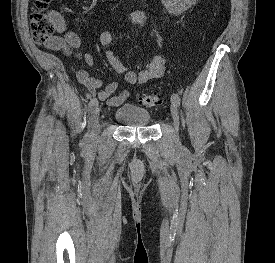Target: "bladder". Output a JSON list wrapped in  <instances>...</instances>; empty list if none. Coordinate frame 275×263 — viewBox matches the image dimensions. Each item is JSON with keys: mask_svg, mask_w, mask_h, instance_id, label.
I'll return each instance as SVG.
<instances>
[{"mask_svg": "<svg viewBox=\"0 0 275 263\" xmlns=\"http://www.w3.org/2000/svg\"><path fill=\"white\" fill-rule=\"evenodd\" d=\"M114 118L127 127H145L150 122L151 114L146 109L127 103L117 107Z\"/></svg>", "mask_w": 275, "mask_h": 263, "instance_id": "obj_1", "label": "bladder"}]
</instances>
